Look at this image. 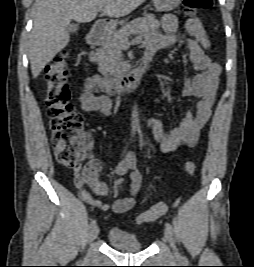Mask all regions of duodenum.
I'll return each instance as SVG.
<instances>
[{"label": "duodenum", "mask_w": 254, "mask_h": 267, "mask_svg": "<svg viewBox=\"0 0 254 267\" xmlns=\"http://www.w3.org/2000/svg\"><path fill=\"white\" fill-rule=\"evenodd\" d=\"M105 28V21L96 22L87 35L88 44L92 46L99 45L103 40ZM149 63L150 59L145 58L138 67L128 72L122 80H108L107 93L109 95H126L131 93L148 71Z\"/></svg>", "instance_id": "duodenum-1"}]
</instances>
